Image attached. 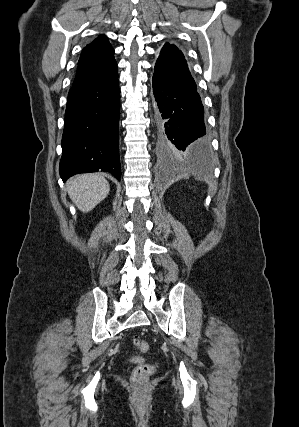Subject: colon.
Instances as JSON below:
<instances>
[{
	"label": "colon",
	"mask_w": 299,
	"mask_h": 427,
	"mask_svg": "<svg viewBox=\"0 0 299 427\" xmlns=\"http://www.w3.org/2000/svg\"><path fill=\"white\" fill-rule=\"evenodd\" d=\"M134 345L141 352H147L149 350V344L141 339H134ZM155 368L152 364H141L138 365L131 376L133 384L142 389L146 386L149 377L153 374Z\"/></svg>",
	"instance_id": "5ec220e1"
}]
</instances>
